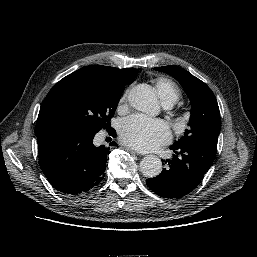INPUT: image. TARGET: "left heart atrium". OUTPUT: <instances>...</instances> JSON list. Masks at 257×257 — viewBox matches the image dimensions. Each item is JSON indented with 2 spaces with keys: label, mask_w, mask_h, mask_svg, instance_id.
<instances>
[{
  "label": "left heart atrium",
  "mask_w": 257,
  "mask_h": 257,
  "mask_svg": "<svg viewBox=\"0 0 257 257\" xmlns=\"http://www.w3.org/2000/svg\"><path fill=\"white\" fill-rule=\"evenodd\" d=\"M120 139L136 150L152 151L167 144L171 134L165 122L135 114L122 121Z\"/></svg>",
  "instance_id": "left-heart-atrium-1"
}]
</instances>
